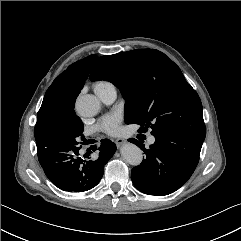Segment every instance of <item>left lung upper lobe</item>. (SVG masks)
<instances>
[{
  "instance_id": "1",
  "label": "left lung upper lobe",
  "mask_w": 241,
  "mask_h": 241,
  "mask_svg": "<svg viewBox=\"0 0 241 241\" xmlns=\"http://www.w3.org/2000/svg\"><path fill=\"white\" fill-rule=\"evenodd\" d=\"M91 81L106 80L121 91L126 124L139 131L171 133L203 143L202 103L179 67L164 53L139 49L98 58Z\"/></svg>"
}]
</instances>
